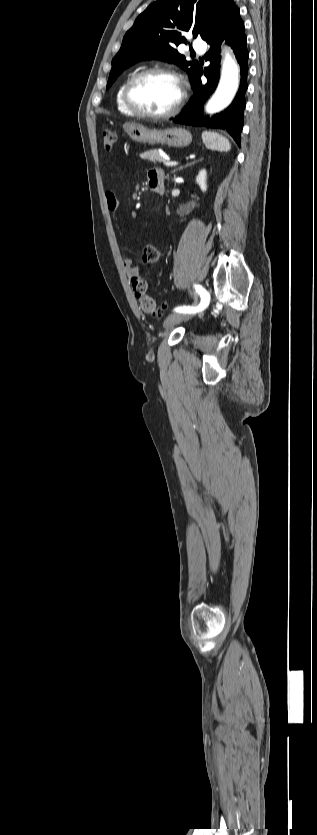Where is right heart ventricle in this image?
<instances>
[{"label": "right heart ventricle", "mask_w": 317, "mask_h": 835, "mask_svg": "<svg viewBox=\"0 0 317 835\" xmlns=\"http://www.w3.org/2000/svg\"><path fill=\"white\" fill-rule=\"evenodd\" d=\"M133 74H134V73H133ZM133 74H129V75H128V76H127V77H126V78H125V79L121 82L120 86L118 87L117 93H116V105H117V109H118L121 113H123V114H125V115H128V116H134V114H133V113L129 110V108L126 106V104H125V102H124L123 92H124V88H125V86H126V83L128 82V80L130 79V77H131Z\"/></svg>", "instance_id": "obj_1"}]
</instances>
